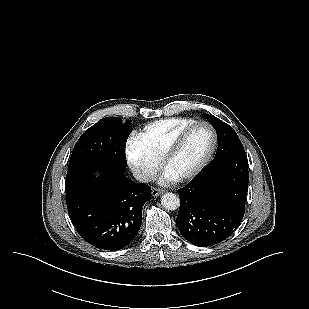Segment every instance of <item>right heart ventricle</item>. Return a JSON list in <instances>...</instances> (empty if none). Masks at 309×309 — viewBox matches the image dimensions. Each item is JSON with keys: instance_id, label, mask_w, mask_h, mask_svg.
<instances>
[{"instance_id": "e07e8e85", "label": "right heart ventricle", "mask_w": 309, "mask_h": 309, "mask_svg": "<svg viewBox=\"0 0 309 309\" xmlns=\"http://www.w3.org/2000/svg\"><path fill=\"white\" fill-rule=\"evenodd\" d=\"M195 120L191 118H169L146 125L137 140L154 156L162 159L174 139Z\"/></svg>"}]
</instances>
